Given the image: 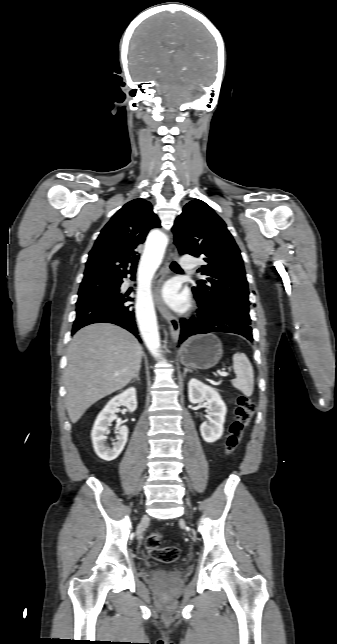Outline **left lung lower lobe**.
I'll return each instance as SVG.
<instances>
[{
  "label": "left lung lower lobe",
  "mask_w": 337,
  "mask_h": 644,
  "mask_svg": "<svg viewBox=\"0 0 337 644\" xmlns=\"http://www.w3.org/2000/svg\"><path fill=\"white\" fill-rule=\"evenodd\" d=\"M196 316L191 319H181L179 342L189 336L210 332L234 333L253 341L252 328L231 313L219 308H205L198 303Z\"/></svg>",
  "instance_id": "obj_1"
}]
</instances>
